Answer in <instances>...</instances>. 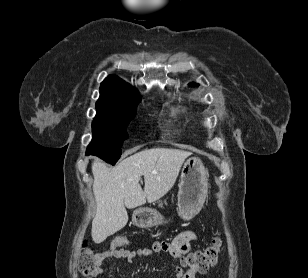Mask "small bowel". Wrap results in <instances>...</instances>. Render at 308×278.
Here are the masks:
<instances>
[{
	"label": "small bowel",
	"mask_w": 308,
	"mask_h": 278,
	"mask_svg": "<svg viewBox=\"0 0 308 278\" xmlns=\"http://www.w3.org/2000/svg\"><path fill=\"white\" fill-rule=\"evenodd\" d=\"M196 239L197 235L193 231L186 230L179 233L170 242H155L151 248H137L134 250H128L119 247L118 250L108 249L100 253V257L102 262L104 260L123 259L128 263H133L142 257L151 258L156 253H167L172 257L180 258L190 252L191 242ZM102 271V268H100L95 278H97L102 273ZM175 278H195V273L189 270L178 268Z\"/></svg>",
	"instance_id": "obj_1"
}]
</instances>
